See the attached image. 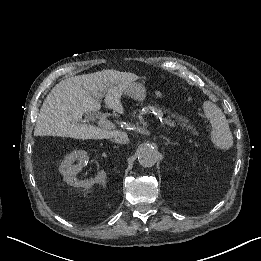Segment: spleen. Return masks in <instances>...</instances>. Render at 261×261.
Listing matches in <instances>:
<instances>
[{"mask_svg":"<svg viewBox=\"0 0 261 261\" xmlns=\"http://www.w3.org/2000/svg\"><path fill=\"white\" fill-rule=\"evenodd\" d=\"M204 115L211 126L210 142L219 150H231L234 146L233 136L222 111L209 105L204 108Z\"/></svg>","mask_w":261,"mask_h":261,"instance_id":"3e777b00","label":"spleen"}]
</instances>
